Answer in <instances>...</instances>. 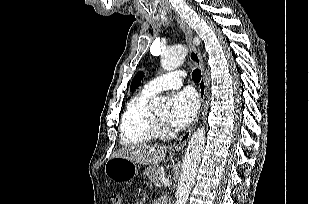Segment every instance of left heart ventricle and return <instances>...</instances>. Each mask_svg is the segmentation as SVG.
<instances>
[{"mask_svg": "<svg viewBox=\"0 0 309 204\" xmlns=\"http://www.w3.org/2000/svg\"><path fill=\"white\" fill-rule=\"evenodd\" d=\"M168 111H165V112H162V113H159V114H157V116L161 119V120H163V121H166L167 119H168Z\"/></svg>", "mask_w": 309, "mask_h": 204, "instance_id": "b2bd125f", "label": "left heart ventricle"}]
</instances>
